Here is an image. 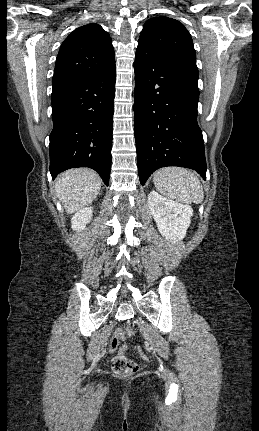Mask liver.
Masks as SVG:
<instances>
[{
    "label": "liver",
    "instance_id": "6515ba94",
    "mask_svg": "<svg viewBox=\"0 0 259 431\" xmlns=\"http://www.w3.org/2000/svg\"><path fill=\"white\" fill-rule=\"evenodd\" d=\"M101 189L99 175L87 168H75L61 173L55 182L57 197L68 214L90 204Z\"/></svg>",
    "mask_w": 259,
    "mask_h": 431
}]
</instances>
